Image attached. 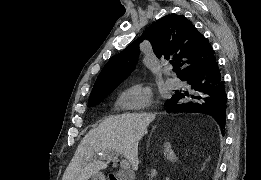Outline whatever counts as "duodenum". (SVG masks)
Instances as JSON below:
<instances>
[{
  "instance_id": "1",
  "label": "duodenum",
  "mask_w": 261,
  "mask_h": 180,
  "mask_svg": "<svg viewBox=\"0 0 261 180\" xmlns=\"http://www.w3.org/2000/svg\"><path fill=\"white\" fill-rule=\"evenodd\" d=\"M107 180H118L117 176H108Z\"/></svg>"
}]
</instances>
